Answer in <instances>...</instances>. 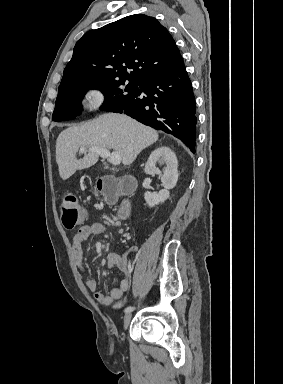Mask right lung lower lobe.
Instances as JSON below:
<instances>
[{"label": "right lung lower lobe", "instance_id": "right-lung-lower-lobe-1", "mask_svg": "<svg viewBox=\"0 0 283 384\" xmlns=\"http://www.w3.org/2000/svg\"><path fill=\"white\" fill-rule=\"evenodd\" d=\"M145 97H139L141 93ZM106 111L124 113L139 122L172 134L195 153L196 106L185 66L139 84L135 98Z\"/></svg>", "mask_w": 283, "mask_h": 384}]
</instances>
